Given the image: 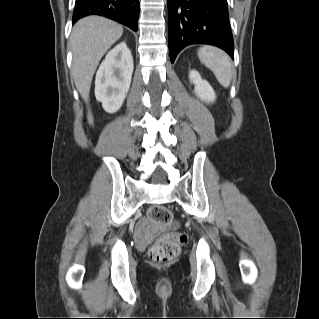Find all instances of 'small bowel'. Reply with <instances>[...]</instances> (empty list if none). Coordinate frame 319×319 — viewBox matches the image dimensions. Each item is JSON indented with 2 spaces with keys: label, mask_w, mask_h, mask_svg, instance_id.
Returning <instances> with one entry per match:
<instances>
[{
  "label": "small bowel",
  "mask_w": 319,
  "mask_h": 319,
  "mask_svg": "<svg viewBox=\"0 0 319 319\" xmlns=\"http://www.w3.org/2000/svg\"><path fill=\"white\" fill-rule=\"evenodd\" d=\"M161 228L149 220L142 218L138 221L135 234L138 241H146L152 238Z\"/></svg>",
  "instance_id": "1"
}]
</instances>
